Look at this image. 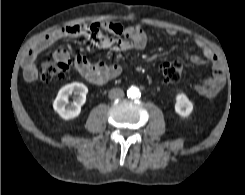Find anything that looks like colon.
I'll return each instance as SVG.
<instances>
[{
	"instance_id": "colon-1",
	"label": "colon",
	"mask_w": 245,
	"mask_h": 195,
	"mask_svg": "<svg viewBox=\"0 0 245 195\" xmlns=\"http://www.w3.org/2000/svg\"><path fill=\"white\" fill-rule=\"evenodd\" d=\"M40 77L44 82L61 80L65 77L68 70V63L58 58L46 57L41 61ZM161 74L164 82L177 81L182 73V65L178 61L166 62L161 66Z\"/></svg>"
}]
</instances>
